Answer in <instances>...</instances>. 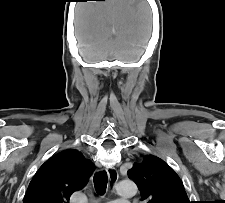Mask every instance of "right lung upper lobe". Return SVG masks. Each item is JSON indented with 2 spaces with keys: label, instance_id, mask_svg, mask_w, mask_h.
<instances>
[{
  "label": "right lung upper lobe",
  "instance_id": "cb5924a9",
  "mask_svg": "<svg viewBox=\"0 0 225 203\" xmlns=\"http://www.w3.org/2000/svg\"><path fill=\"white\" fill-rule=\"evenodd\" d=\"M94 164L79 151L68 149L48 159L31 180L23 203H68L88 181Z\"/></svg>",
  "mask_w": 225,
  "mask_h": 203
}]
</instances>
